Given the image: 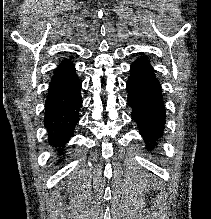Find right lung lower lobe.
<instances>
[{
  "label": "right lung lower lobe",
  "instance_id": "98d812e1",
  "mask_svg": "<svg viewBox=\"0 0 211 219\" xmlns=\"http://www.w3.org/2000/svg\"><path fill=\"white\" fill-rule=\"evenodd\" d=\"M70 61L61 63L51 79L45 101L44 125L49 143L64 157V145L74 133L82 105L81 82Z\"/></svg>",
  "mask_w": 211,
  "mask_h": 219
}]
</instances>
